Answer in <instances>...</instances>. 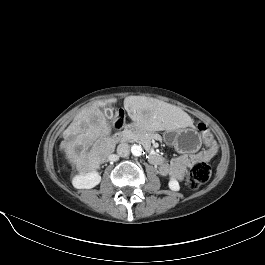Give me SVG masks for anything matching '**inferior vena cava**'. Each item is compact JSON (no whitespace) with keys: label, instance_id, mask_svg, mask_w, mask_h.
Instances as JSON below:
<instances>
[{"label":"inferior vena cava","instance_id":"1","mask_svg":"<svg viewBox=\"0 0 265 265\" xmlns=\"http://www.w3.org/2000/svg\"><path fill=\"white\" fill-rule=\"evenodd\" d=\"M117 154L120 157H127L130 154V146L127 143H121L117 147Z\"/></svg>","mask_w":265,"mask_h":265}]
</instances>
